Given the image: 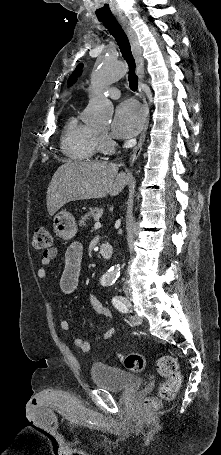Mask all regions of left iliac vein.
Returning <instances> with one entry per match:
<instances>
[{
  "label": "left iliac vein",
  "instance_id": "4c4485c4",
  "mask_svg": "<svg viewBox=\"0 0 221 455\" xmlns=\"http://www.w3.org/2000/svg\"><path fill=\"white\" fill-rule=\"evenodd\" d=\"M127 300H128V299H127ZM128 301H129V300H128ZM129 307H130V309H131V305H130ZM129 319H130V321H131V323H132L133 325H140V324L142 323V317H140V316H138V315H136V314L130 315V316H129Z\"/></svg>",
  "mask_w": 221,
  "mask_h": 455
}]
</instances>
